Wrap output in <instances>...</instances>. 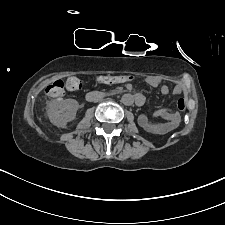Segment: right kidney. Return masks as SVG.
Masks as SVG:
<instances>
[{
    "instance_id": "right-kidney-1",
    "label": "right kidney",
    "mask_w": 225,
    "mask_h": 225,
    "mask_svg": "<svg viewBox=\"0 0 225 225\" xmlns=\"http://www.w3.org/2000/svg\"><path fill=\"white\" fill-rule=\"evenodd\" d=\"M78 107L74 99L57 98L49 103L48 117L57 127L66 128L67 123L75 119Z\"/></svg>"
}]
</instances>
